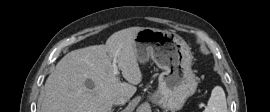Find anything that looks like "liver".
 I'll use <instances>...</instances> for the list:
<instances>
[{"label": "liver", "mask_w": 270, "mask_h": 112, "mask_svg": "<svg viewBox=\"0 0 270 112\" xmlns=\"http://www.w3.org/2000/svg\"><path fill=\"white\" fill-rule=\"evenodd\" d=\"M142 29H122L105 44L66 54L46 80L41 112H111L116 96L129 100L142 81L134 40ZM113 62L128 83L113 73Z\"/></svg>", "instance_id": "1"}]
</instances>
